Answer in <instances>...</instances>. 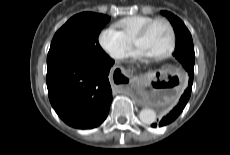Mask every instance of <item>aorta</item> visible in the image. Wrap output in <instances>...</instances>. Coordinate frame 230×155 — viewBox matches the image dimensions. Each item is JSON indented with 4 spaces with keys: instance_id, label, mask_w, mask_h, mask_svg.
I'll return each mask as SVG.
<instances>
[{
    "instance_id": "762f6f07",
    "label": "aorta",
    "mask_w": 230,
    "mask_h": 155,
    "mask_svg": "<svg viewBox=\"0 0 230 155\" xmlns=\"http://www.w3.org/2000/svg\"><path fill=\"white\" fill-rule=\"evenodd\" d=\"M140 121L144 124L150 125L156 121V112L153 109L145 108L139 113Z\"/></svg>"
}]
</instances>
